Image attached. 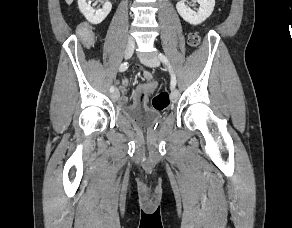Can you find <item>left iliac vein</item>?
Wrapping results in <instances>:
<instances>
[{
    "instance_id": "4c4485c4",
    "label": "left iliac vein",
    "mask_w": 292,
    "mask_h": 228,
    "mask_svg": "<svg viewBox=\"0 0 292 228\" xmlns=\"http://www.w3.org/2000/svg\"><path fill=\"white\" fill-rule=\"evenodd\" d=\"M140 59L145 65L149 67H158L160 64V60L157 56L140 57ZM170 98L172 102H176L179 98V91L177 89H172Z\"/></svg>"
}]
</instances>
